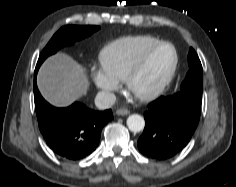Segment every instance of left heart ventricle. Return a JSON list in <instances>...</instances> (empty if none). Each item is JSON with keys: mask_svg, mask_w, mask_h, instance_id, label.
<instances>
[{"mask_svg": "<svg viewBox=\"0 0 236 187\" xmlns=\"http://www.w3.org/2000/svg\"><path fill=\"white\" fill-rule=\"evenodd\" d=\"M174 59L169 46L157 49L148 59L144 69L133 83L135 92L143 93L155 89L165 78Z\"/></svg>", "mask_w": 236, "mask_h": 187, "instance_id": "obj_1", "label": "left heart ventricle"}]
</instances>
